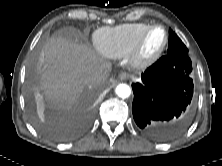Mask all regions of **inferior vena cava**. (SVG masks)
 Wrapping results in <instances>:
<instances>
[{"label":"inferior vena cava","mask_w":222,"mask_h":166,"mask_svg":"<svg viewBox=\"0 0 222 166\" xmlns=\"http://www.w3.org/2000/svg\"><path fill=\"white\" fill-rule=\"evenodd\" d=\"M104 78H105L104 72L92 71L87 78V83L88 84H99L100 82H102V80Z\"/></svg>","instance_id":"1"}]
</instances>
